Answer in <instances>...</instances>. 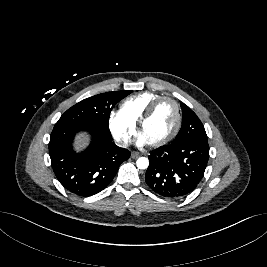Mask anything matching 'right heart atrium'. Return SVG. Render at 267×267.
<instances>
[{
    "mask_svg": "<svg viewBox=\"0 0 267 267\" xmlns=\"http://www.w3.org/2000/svg\"><path fill=\"white\" fill-rule=\"evenodd\" d=\"M109 128L113 137L120 144H127L135 133V125L132 124L120 110H113L109 114Z\"/></svg>",
    "mask_w": 267,
    "mask_h": 267,
    "instance_id": "obj_1",
    "label": "right heart atrium"
}]
</instances>
